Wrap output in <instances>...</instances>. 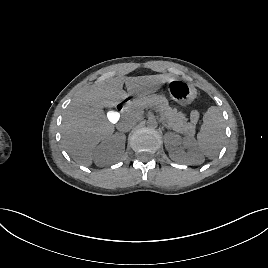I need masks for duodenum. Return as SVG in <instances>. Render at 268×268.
Masks as SVG:
<instances>
[{"label": "duodenum", "instance_id": "1", "mask_svg": "<svg viewBox=\"0 0 268 268\" xmlns=\"http://www.w3.org/2000/svg\"><path fill=\"white\" fill-rule=\"evenodd\" d=\"M128 101H129V98H128V97L124 98V100L121 101V102L117 105V108H118L119 110L123 109L124 105H125Z\"/></svg>", "mask_w": 268, "mask_h": 268}]
</instances>
